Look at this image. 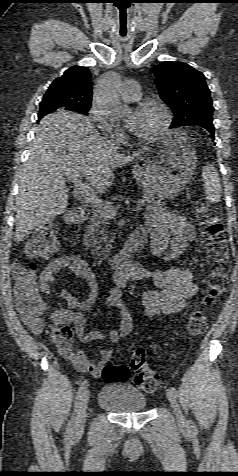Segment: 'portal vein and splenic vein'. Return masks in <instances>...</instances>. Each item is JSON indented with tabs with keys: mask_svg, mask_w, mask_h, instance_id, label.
Segmentation results:
<instances>
[{
	"mask_svg": "<svg viewBox=\"0 0 238 476\" xmlns=\"http://www.w3.org/2000/svg\"><path fill=\"white\" fill-rule=\"evenodd\" d=\"M82 178L79 176H72L70 177V181L75 187V193L77 196L86 204L90 205L92 208L96 209L103 217L107 219H112L116 216L117 210L109 203L104 202L100 198L96 196L93 190L90 188L88 184H85L81 180ZM143 202L139 201L134 208L133 211L139 212L142 210Z\"/></svg>",
	"mask_w": 238,
	"mask_h": 476,
	"instance_id": "portal-vein-and-splenic-vein-1",
	"label": "portal vein and splenic vein"
}]
</instances>
